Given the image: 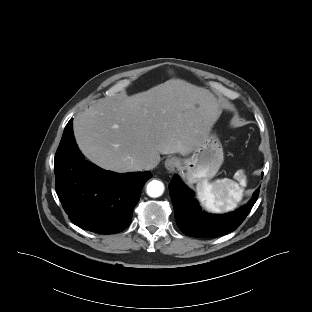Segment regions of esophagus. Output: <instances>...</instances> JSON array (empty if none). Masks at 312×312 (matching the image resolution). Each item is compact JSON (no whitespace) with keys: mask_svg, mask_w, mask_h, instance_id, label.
<instances>
[{"mask_svg":"<svg viewBox=\"0 0 312 312\" xmlns=\"http://www.w3.org/2000/svg\"><path fill=\"white\" fill-rule=\"evenodd\" d=\"M178 160L175 157H169L165 161V168L169 173H173L176 170Z\"/></svg>","mask_w":312,"mask_h":312,"instance_id":"34e87169","label":"esophagus"}]
</instances>
